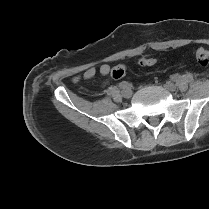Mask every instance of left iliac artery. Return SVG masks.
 Here are the masks:
<instances>
[{
    "mask_svg": "<svg viewBox=\"0 0 209 209\" xmlns=\"http://www.w3.org/2000/svg\"><path fill=\"white\" fill-rule=\"evenodd\" d=\"M171 79H172L173 82L177 83V82L180 81L181 77H180L179 74L176 73L171 77Z\"/></svg>",
    "mask_w": 209,
    "mask_h": 209,
    "instance_id": "44dca946",
    "label": "left iliac artery"
}]
</instances>
